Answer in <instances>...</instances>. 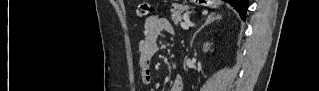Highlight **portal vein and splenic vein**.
<instances>
[{
  "label": "portal vein and splenic vein",
  "instance_id": "1",
  "mask_svg": "<svg viewBox=\"0 0 319 91\" xmlns=\"http://www.w3.org/2000/svg\"><path fill=\"white\" fill-rule=\"evenodd\" d=\"M189 26H190V23H189V22L181 23V27H182L183 29H188Z\"/></svg>",
  "mask_w": 319,
  "mask_h": 91
}]
</instances>
